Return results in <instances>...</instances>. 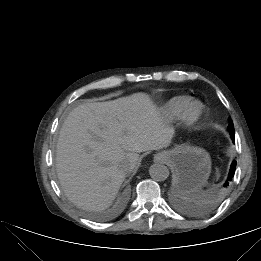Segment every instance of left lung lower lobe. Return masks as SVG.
<instances>
[{"mask_svg": "<svg viewBox=\"0 0 261 261\" xmlns=\"http://www.w3.org/2000/svg\"><path fill=\"white\" fill-rule=\"evenodd\" d=\"M229 133H230L232 141L235 142L234 133L232 131H230ZM235 169H236V161H233L232 164H231V167H230L228 178H227V180L224 184L229 185V182L232 181V178H233L234 173H235Z\"/></svg>", "mask_w": 261, "mask_h": 261, "instance_id": "0a47b994", "label": "left lung lower lobe"}]
</instances>
